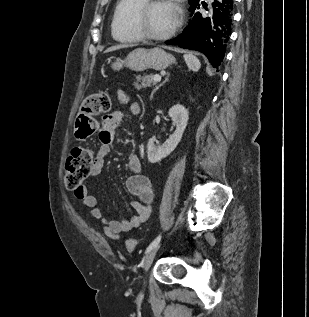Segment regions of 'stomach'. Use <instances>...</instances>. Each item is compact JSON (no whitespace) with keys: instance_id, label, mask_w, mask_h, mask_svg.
I'll return each mask as SVG.
<instances>
[{"instance_id":"stomach-1","label":"stomach","mask_w":309,"mask_h":317,"mask_svg":"<svg viewBox=\"0 0 309 317\" xmlns=\"http://www.w3.org/2000/svg\"><path fill=\"white\" fill-rule=\"evenodd\" d=\"M175 62V58L159 47L145 49L137 48L130 52L125 59H116L112 68L119 71L126 67L132 71L141 72L147 69L163 70Z\"/></svg>"}]
</instances>
